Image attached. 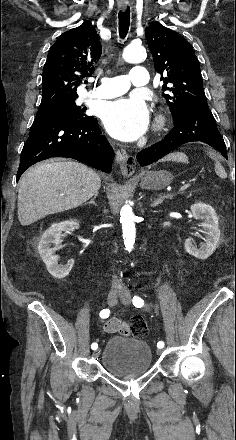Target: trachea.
<instances>
[{
    "instance_id": "3493384b",
    "label": "trachea",
    "mask_w": 236,
    "mask_h": 440,
    "mask_svg": "<svg viewBox=\"0 0 236 440\" xmlns=\"http://www.w3.org/2000/svg\"><path fill=\"white\" fill-rule=\"evenodd\" d=\"M119 34L121 38H125L130 25V9L127 8L124 12H119Z\"/></svg>"
}]
</instances>
